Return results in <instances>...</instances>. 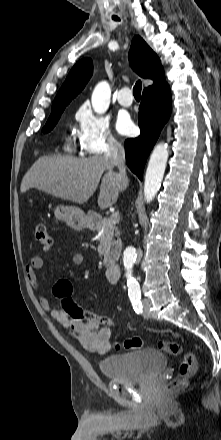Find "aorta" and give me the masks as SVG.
<instances>
[{"label":"aorta","mask_w":221,"mask_h":440,"mask_svg":"<svg viewBox=\"0 0 221 440\" xmlns=\"http://www.w3.org/2000/svg\"><path fill=\"white\" fill-rule=\"evenodd\" d=\"M111 90L106 81H102L95 87L92 93V107L96 113H104L110 104ZM168 160V147L165 143L155 146L148 163L144 183V196L146 202L153 200L157 194L164 176ZM136 261V250L132 246L124 251L123 263L126 270L127 286L129 292H138L140 286L132 275V268Z\"/></svg>","instance_id":"762f6f07"}]
</instances>
